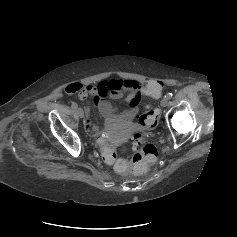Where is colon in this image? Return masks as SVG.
<instances>
[{"instance_id":"1","label":"colon","mask_w":237,"mask_h":237,"mask_svg":"<svg viewBox=\"0 0 237 237\" xmlns=\"http://www.w3.org/2000/svg\"><path fill=\"white\" fill-rule=\"evenodd\" d=\"M164 83L161 80H150L147 82L145 89L149 96L158 98L162 92ZM159 110L148 108L138 118V123L145 128L155 127L158 121ZM132 145L135 150L131 161L119 159L117 149L114 146L102 143L103 159L110 164H114L118 173L124 175L141 174L148 170V168L155 163L158 156L156 146L144 142V137L140 133H136L132 139Z\"/></svg>"}]
</instances>
